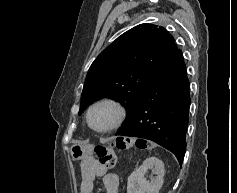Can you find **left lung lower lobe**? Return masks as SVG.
Wrapping results in <instances>:
<instances>
[{"mask_svg": "<svg viewBox=\"0 0 237 193\" xmlns=\"http://www.w3.org/2000/svg\"><path fill=\"white\" fill-rule=\"evenodd\" d=\"M189 106V81L178 50L146 90L133 119L116 135L151 140L171 151L182 165Z\"/></svg>", "mask_w": 237, "mask_h": 193, "instance_id": "1", "label": "left lung lower lobe"}]
</instances>
